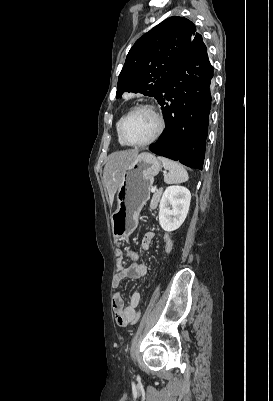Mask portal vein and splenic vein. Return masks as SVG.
<instances>
[{"mask_svg": "<svg viewBox=\"0 0 273 401\" xmlns=\"http://www.w3.org/2000/svg\"><path fill=\"white\" fill-rule=\"evenodd\" d=\"M164 172H166V170H164ZM152 192H155L156 190V186H153V188H151Z\"/></svg>", "mask_w": 273, "mask_h": 401, "instance_id": "1", "label": "portal vein and splenic vein"}]
</instances>
